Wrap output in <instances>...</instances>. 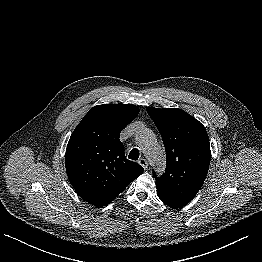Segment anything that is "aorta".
<instances>
[{
  "instance_id": "1",
  "label": "aorta",
  "mask_w": 262,
  "mask_h": 262,
  "mask_svg": "<svg viewBox=\"0 0 262 262\" xmlns=\"http://www.w3.org/2000/svg\"><path fill=\"white\" fill-rule=\"evenodd\" d=\"M136 141L140 145L150 164L157 170L164 169V152L158 144L154 133L149 128H142L136 134Z\"/></svg>"
}]
</instances>
